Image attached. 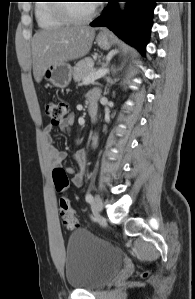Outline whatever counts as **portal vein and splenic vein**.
Here are the masks:
<instances>
[{
    "mask_svg": "<svg viewBox=\"0 0 195 299\" xmlns=\"http://www.w3.org/2000/svg\"><path fill=\"white\" fill-rule=\"evenodd\" d=\"M109 72V70L107 68H102L99 69L93 73H91L89 76H87L84 80L83 83L84 84H89V83H93L95 80L105 76L107 73Z\"/></svg>",
    "mask_w": 195,
    "mask_h": 299,
    "instance_id": "1",
    "label": "portal vein and splenic vein"
}]
</instances>
